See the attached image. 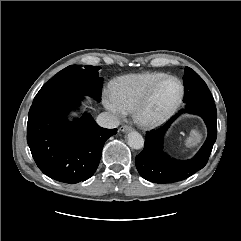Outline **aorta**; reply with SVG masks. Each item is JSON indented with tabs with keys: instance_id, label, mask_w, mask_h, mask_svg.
Masks as SVG:
<instances>
[{
	"instance_id": "obj_1",
	"label": "aorta",
	"mask_w": 241,
	"mask_h": 241,
	"mask_svg": "<svg viewBox=\"0 0 241 241\" xmlns=\"http://www.w3.org/2000/svg\"><path fill=\"white\" fill-rule=\"evenodd\" d=\"M127 142L132 149L136 150L142 149L144 146V138L140 133L136 131L129 132L127 136Z\"/></svg>"
}]
</instances>
